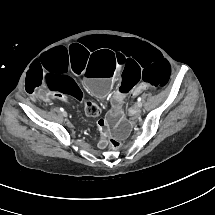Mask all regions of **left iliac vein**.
I'll use <instances>...</instances> for the list:
<instances>
[{
    "label": "left iliac vein",
    "instance_id": "left-iliac-vein-1",
    "mask_svg": "<svg viewBox=\"0 0 215 215\" xmlns=\"http://www.w3.org/2000/svg\"><path fill=\"white\" fill-rule=\"evenodd\" d=\"M140 107H141V105L137 103L136 108H140Z\"/></svg>",
    "mask_w": 215,
    "mask_h": 215
}]
</instances>
